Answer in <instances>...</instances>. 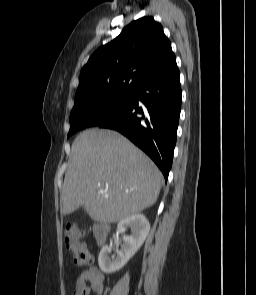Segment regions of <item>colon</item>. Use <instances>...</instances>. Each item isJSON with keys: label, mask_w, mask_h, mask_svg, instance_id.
Here are the masks:
<instances>
[{"label": "colon", "mask_w": 256, "mask_h": 295, "mask_svg": "<svg viewBox=\"0 0 256 295\" xmlns=\"http://www.w3.org/2000/svg\"><path fill=\"white\" fill-rule=\"evenodd\" d=\"M83 235V231L74 223H67L64 227L65 245L71 252L76 266L88 265L92 262L91 255L82 244Z\"/></svg>", "instance_id": "5ec220e1"}]
</instances>
